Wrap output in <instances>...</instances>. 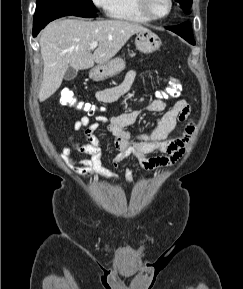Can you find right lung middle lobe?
Returning a JSON list of instances; mask_svg holds the SVG:
<instances>
[{"label": "right lung middle lobe", "mask_w": 243, "mask_h": 289, "mask_svg": "<svg viewBox=\"0 0 243 289\" xmlns=\"http://www.w3.org/2000/svg\"><path fill=\"white\" fill-rule=\"evenodd\" d=\"M71 10L75 12H96L92 0H38L36 10Z\"/></svg>", "instance_id": "1"}]
</instances>
